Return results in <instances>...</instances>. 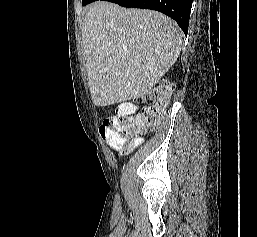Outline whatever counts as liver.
Instances as JSON below:
<instances>
[{
    "label": "liver",
    "mask_w": 257,
    "mask_h": 237,
    "mask_svg": "<svg viewBox=\"0 0 257 237\" xmlns=\"http://www.w3.org/2000/svg\"><path fill=\"white\" fill-rule=\"evenodd\" d=\"M82 39L91 97L101 107L149 94L182 47L180 29L166 15L108 2L89 8Z\"/></svg>",
    "instance_id": "1"
}]
</instances>
